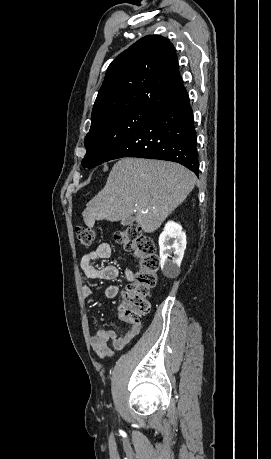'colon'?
<instances>
[{
  "label": "colon",
  "instance_id": "1",
  "mask_svg": "<svg viewBox=\"0 0 271 459\" xmlns=\"http://www.w3.org/2000/svg\"><path fill=\"white\" fill-rule=\"evenodd\" d=\"M96 235V230L90 227L79 226L75 229L76 241L85 248L92 245ZM115 241L139 259V269L134 280L123 290V302L119 306L122 318L131 324H138L150 310L149 295L156 284L160 259L152 239L137 225L127 226L117 232Z\"/></svg>",
  "mask_w": 271,
  "mask_h": 459
}]
</instances>
